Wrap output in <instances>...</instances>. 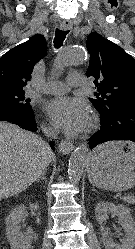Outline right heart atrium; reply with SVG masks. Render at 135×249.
Listing matches in <instances>:
<instances>
[{
	"label": "right heart atrium",
	"instance_id": "1",
	"mask_svg": "<svg viewBox=\"0 0 135 249\" xmlns=\"http://www.w3.org/2000/svg\"><path fill=\"white\" fill-rule=\"evenodd\" d=\"M47 130H49V131H50L51 129H50V128H47Z\"/></svg>",
	"mask_w": 135,
	"mask_h": 249
}]
</instances>
